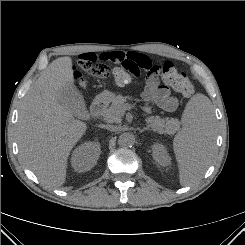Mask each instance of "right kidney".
<instances>
[{
	"label": "right kidney",
	"mask_w": 245,
	"mask_h": 245,
	"mask_svg": "<svg viewBox=\"0 0 245 245\" xmlns=\"http://www.w3.org/2000/svg\"><path fill=\"white\" fill-rule=\"evenodd\" d=\"M100 153L99 142H85L73 151L71 165L77 172L88 171L96 164Z\"/></svg>",
	"instance_id": "right-kidney-1"
}]
</instances>
